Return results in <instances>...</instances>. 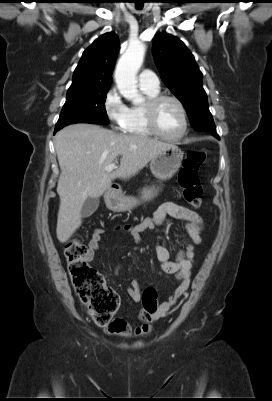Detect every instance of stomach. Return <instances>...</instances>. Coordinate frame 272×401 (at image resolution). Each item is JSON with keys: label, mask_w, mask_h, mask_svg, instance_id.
Returning <instances> with one entry per match:
<instances>
[{"label": "stomach", "mask_w": 272, "mask_h": 401, "mask_svg": "<svg viewBox=\"0 0 272 401\" xmlns=\"http://www.w3.org/2000/svg\"><path fill=\"white\" fill-rule=\"evenodd\" d=\"M183 151L175 145L162 150L150 162L152 174L160 181L168 180L178 171L183 160ZM159 188L147 186L141 190L140 199L122 193L107 194L105 202L110 210L125 212L135 208L141 202L152 200L157 196Z\"/></svg>", "instance_id": "0dacf381"}]
</instances>
